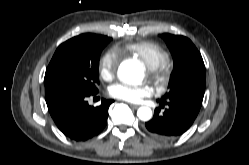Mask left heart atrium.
<instances>
[{"mask_svg": "<svg viewBox=\"0 0 249 165\" xmlns=\"http://www.w3.org/2000/svg\"><path fill=\"white\" fill-rule=\"evenodd\" d=\"M151 93L148 86H131L123 83H116L111 86L110 94L114 98L136 103Z\"/></svg>", "mask_w": 249, "mask_h": 165, "instance_id": "obj_1", "label": "left heart atrium"}]
</instances>
